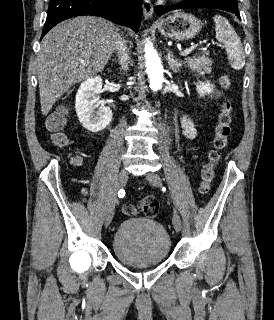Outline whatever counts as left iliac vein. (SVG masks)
I'll return each instance as SVG.
<instances>
[{
	"label": "left iliac vein",
	"mask_w": 274,
	"mask_h": 320,
	"mask_svg": "<svg viewBox=\"0 0 274 320\" xmlns=\"http://www.w3.org/2000/svg\"><path fill=\"white\" fill-rule=\"evenodd\" d=\"M146 179L151 185H153L155 187H160L162 185V180H161L160 176L156 173H148L146 175ZM172 224H173L174 229L177 232L181 231L182 222H181V218H180L177 211H174V213H173Z\"/></svg>",
	"instance_id": "4c4485c4"
}]
</instances>
